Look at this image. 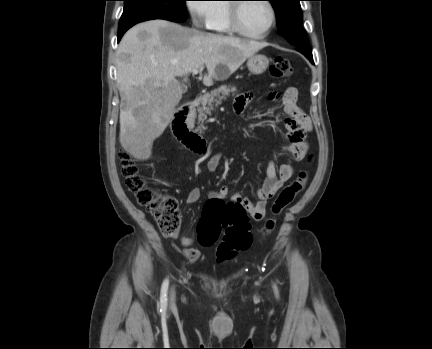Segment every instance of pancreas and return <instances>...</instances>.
Here are the masks:
<instances>
[{
  "label": "pancreas",
  "instance_id": "obj_1",
  "mask_svg": "<svg viewBox=\"0 0 432 349\" xmlns=\"http://www.w3.org/2000/svg\"><path fill=\"white\" fill-rule=\"evenodd\" d=\"M236 91V87L234 86L221 85L210 93L201 95L198 99L201 106L197 107L198 121L203 122L206 120L207 115L211 114V112L214 110V107L220 105L222 100H225L230 95V93L234 95ZM199 129L201 131V128Z\"/></svg>",
  "mask_w": 432,
  "mask_h": 349
}]
</instances>
